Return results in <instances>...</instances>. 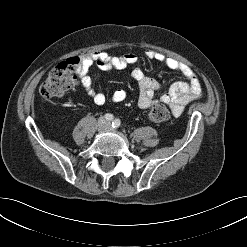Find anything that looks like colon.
I'll return each mask as SVG.
<instances>
[{
	"label": "colon",
	"mask_w": 247,
	"mask_h": 247,
	"mask_svg": "<svg viewBox=\"0 0 247 247\" xmlns=\"http://www.w3.org/2000/svg\"><path fill=\"white\" fill-rule=\"evenodd\" d=\"M79 58H70L59 63L49 73L40 87L39 93L42 100L47 101L65 95L77 84V69ZM170 116L169 108L164 104L155 105L148 114V119L154 123L166 121Z\"/></svg>",
	"instance_id": "obj_1"
}]
</instances>
